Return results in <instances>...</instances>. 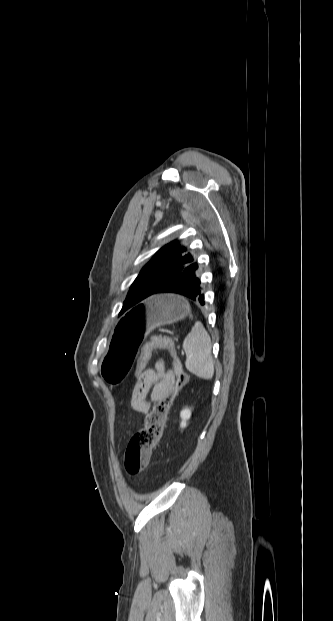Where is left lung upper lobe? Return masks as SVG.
I'll use <instances>...</instances> for the list:
<instances>
[{
  "instance_id": "1",
  "label": "left lung upper lobe",
  "mask_w": 333,
  "mask_h": 621,
  "mask_svg": "<svg viewBox=\"0 0 333 621\" xmlns=\"http://www.w3.org/2000/svg\"><path fill=\"white\" fill-rule=\"evenodd\" d=\"M180 247L178 241L165 245L143 267L130 287L120 314L134 309L147 297L154 295L165 283L189 269L198 268V264Z\"/></svg>"
}]
</instances>
